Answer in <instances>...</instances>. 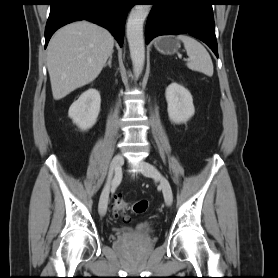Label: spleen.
Listing matches in <instances>:
<instances>
[{"label": "spleen", "mask_w": 278, "mask_h": 278, "mask_svg": "<svg viewBox=\"0 0 278 278\" xmlns=\"http://www.w3.org/2000/svg\"><path fill=\"white\" fill-rule=\"evenodd\" d=\"M177 39L183 42L189 57L190 61L187 63V67L191 70L202 72L207 76H212L213 63L205 47L188 35H178Z\"/></svg>", "instance_id": "spleen-1"}]
</instances>
